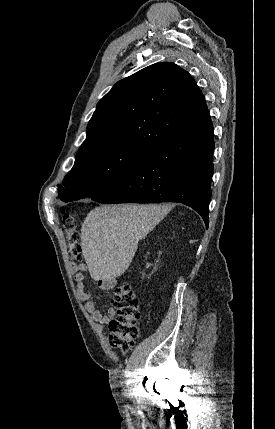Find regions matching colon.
Segmentation results:
<instances>
[{
    "label": "colon",
    "instance_id": "colon-1",
    "mask_svg": "<svg viewBox=\"0 0 275 429\" xmlns=\"http://www.w3.org/2000/svg\"><path fill=\"white\" fill-rule=\"evenodd\" d=\"M62 223L69 238V256L73 262H79L82 259V249L76 233L75 219L71 214L62 212ZM112 303L117 316L109 324V342L112 347L127 352L139 335V302L131 286L121 283L114 290Z\"/></svg>",
    "mask_w": 275,
    "mask_h": 429
}]
</instances>
